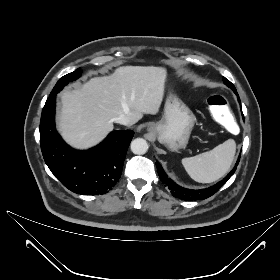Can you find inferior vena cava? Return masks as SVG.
I'll use <instances>...</instances> for the list:
<instances>
[{
	"instance_id": "inferior-vena-cava-1",
	"label": "inferior vena cava",
	"mask_w": 280,
	"mask_h": 280,
	"mask_svg": "<svg viewBox=\"0 0 280 280\" xmlns=\"http://www.w3.org/2000/svg\"><path fill=\"white\" fill-rule=\"evenodd\" d=\"M114 122L122 124V125H130V119L124 114H121V115L115 117Z\"/></svg>"
}]
</instances>
